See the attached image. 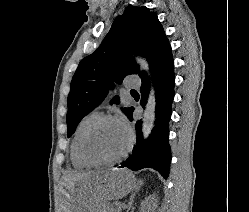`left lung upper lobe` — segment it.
<instances>
[{"label":"left lung upper lobe","instance_id":"obj_1","mask_svg":"<svg viewBox=\"0 0 249 212\" xmlns=\"http://www.w3.org/2000/svg\"><path fill=\"white\" fill-rule=\"evenodd\" d=\"M168 43L155 12L145 6L127 7L114 20L99 48L81 60L72 78L67 100V136L104 100L113 82L120 84L127 75L139 73L133 55L146 58L151 65ZM111 103L119 104V97L115 96Z\"/></svg>","mask_w":249,"mask_h":212}]
</instances>
